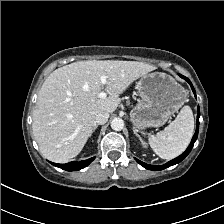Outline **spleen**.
<instances>
[{
    "instance_id": "spleen-1",
    "label": "spleen",
    "mask_w": 224,
    "mask_h": 224,
    "mask_svg": "<svg viewBox=\"0 0 224 224\" xmlns=\"http://www.w3.org/2000/svg\"><path fill=\"white\" fill-rule=\"evenodd\" d=\"M194 132V117L189 106H184L174 121L156 136L149 137L153 151L162 159L170 160L188 147Z\"/></svg>"
}]
</instances>
